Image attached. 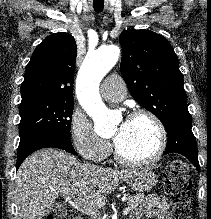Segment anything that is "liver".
Listing matches in <instances>:
<instances>
[{
  "label": "liver",
  "instance_id": "obj_1",
  "mask_svg": "<svg viewBox=\"0 0 211 219\" xmlns=\"http://www.w3.org/2000/svg\"><path fill=\"white\" fill-rule=\"evenodd\" d=\"M136 172L81 164L61 150H39L27 157L17 172V219H42L52 211L58 194L77 197L89 209L102 208L107 202L106 195Z\"/></svg>",
  "mask_w": 211,
  "mask_h": 219
}]
</instances>
